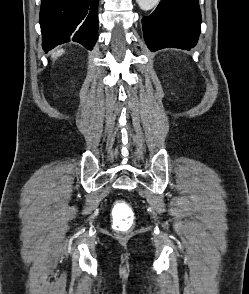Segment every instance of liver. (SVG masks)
I'll use <instances>...</instances> for the list:
<instances>
[{"mask_svg":"<svg viewBox=\"0 0 249 294\" xmlns=\"http://www.w3.org/2000/svg\"><path fill=\"white\" fill-rule=\"evenodd\" d=\"M63 52H64L63 49H60V50H58L57 52H53V53H52V58H53V59H56L57 57H59L60 55H62Z\"/></svg>","mask_w":249,"mask_h":294,"instance_id":"liver-1","label":"liver"}]
</instances>
